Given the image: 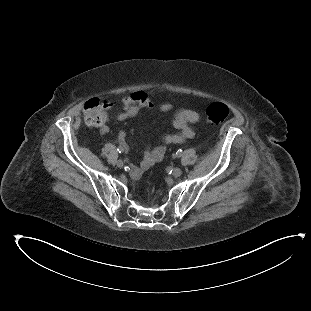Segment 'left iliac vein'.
Segmentation results:
<instances>
[{
  "mask_svg": "<svg viewBox=\"0 0 311 311\" xmlns=\"http://www.w3.org/2000/svg\"><path fill=\"white\" fill-rule=\"evenodd\" d=\"M182 174V170L180 168H174L173 169V176L179 177Z\"/></svg>",
  "mask_w": 311,
  "mask_h": 311,
  "instance_id": "1",
  "label": "left iliac vein"
}]
</instances>
